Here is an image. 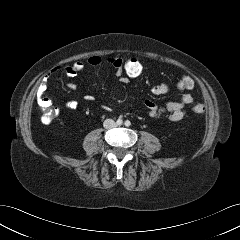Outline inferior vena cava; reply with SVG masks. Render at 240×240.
Here are the masks:
<instances>
[{
	"label": "inferior vena cava",
	"mask_w": 240,
	"mask_h": 240,
	"mask_svg": "<svg viewBox=\"0 0 240 240\" xmlns=\"http://www.w3.org/2000/svg\"><path fill=\"white\" fill-rule=\"evenodd\" d=\"M103 126H104V128H106V129H111V128L116 127L117 125H116V123H115L114 120H112V119H106V120L104 121V123H103Z\"/></svg>",
	"instance_id": "1"
}]
</instances>
